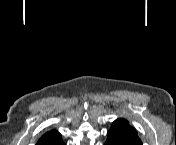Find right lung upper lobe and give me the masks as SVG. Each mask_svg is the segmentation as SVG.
<instances>
[{
    "instance_id": "right-lung-upper-lobe-1",
    "label": "right lung upper lobe",
    "mask_w": 176,
    "mask_h": 145,
    "mask_svg": "<svg viewBox=\"0 0 176 145\" xmlns=\"http://www.w3.org/2000/svg\"><path fill=\"white\" fill-rule=\"evenodd\" d=\"M61 134L56 130L45 133L37 142V145H62Z\"/></svg>"
}]
</instances>
